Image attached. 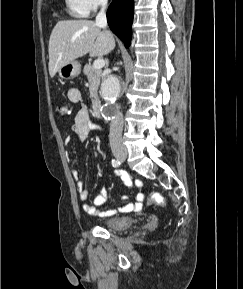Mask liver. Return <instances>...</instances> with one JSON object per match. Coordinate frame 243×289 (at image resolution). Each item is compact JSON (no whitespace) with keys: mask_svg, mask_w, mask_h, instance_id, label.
<instances>
[{"mask_svg":"<svg viewBox=\"0 0 243 289\" xmlns=\"http://www.w3.org/2000/svg\"><path fill=\"white\" fill-rule=\"evenodd\" d=\"M115 46V40L109 32L90 20L59 21L49 39V74L54 77L58 70L67 63L83 57H101Z\"/></svg>","mask_w":243,"mask_h":289,"instance_id":"liver-1","label":"liver"}]
</instances>
